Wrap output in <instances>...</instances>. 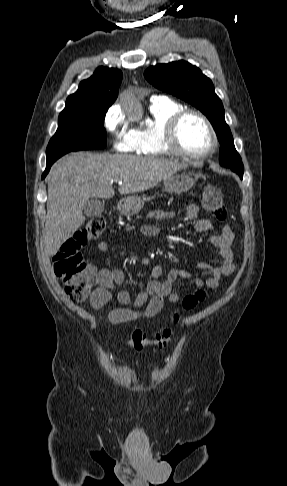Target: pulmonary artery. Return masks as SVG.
I'll return each instance as SVG.
<instances>
[{
	"label": "pulmonary artery",
	"mask_w": 287,
	"mask_h": 486,
	"mask_svg": "<svg viewBox=\"0 0 287 486\" xmlns=\"http://www.w3.org/2000/svg\"><path fill=\"white\" fill-rule=\"evenodd\" d=\"M158 98H163V97H162V96H154V97H153V100H154V99H158Z\"/></svg>",
	"instance_id": "1"
}]
</instances>
